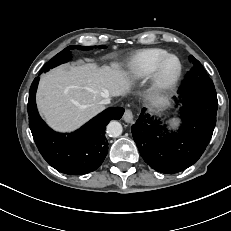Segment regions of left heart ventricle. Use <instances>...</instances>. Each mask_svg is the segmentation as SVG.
Masks as SVG:
<instances>
[{"label": "left heart ventricle", "mask_w": 231, "mask_h": 231, "mask_svg": "<svg viewBox=\"0 0 231 231\" xmlns=\"http://www.w3.org/2000/svg\"><path fill=\"white\" fill-rule=\"evenodd\" d=\"M178 70V62L172 58L167 61L162 70V78L168 80L172 78Z\"/></svg>", "instance_id": "obj_1"}]
</instances>
